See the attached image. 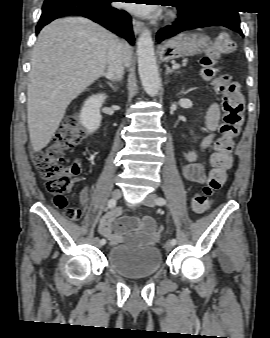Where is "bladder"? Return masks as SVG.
Returning <instances> with one entry per match:
<instances>
[{
	"label": "bladder",
	"instance_id": "31cf9c89",
	"mask_svg": "<svg viewBox=\"0 0 270 338\" xmlns=\"http://www.w3.org/2000/svg\"><path fill=\"white\" fill-rule=\"evenodd\" d=\"M106 260L108 267L125 279L150 277L162 267V255L155 246L133 248L120 243L108 250Z\"/></svg>",
	"mask_w": 270,
	"mask_h": 338
}]
</instances>
